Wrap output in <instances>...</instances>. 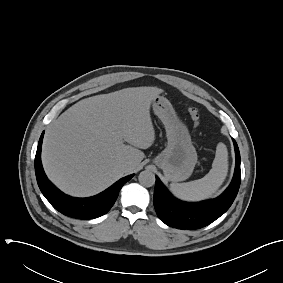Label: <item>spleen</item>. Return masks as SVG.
Segmentation results:
<instances>
[{
    "label": "spleen",
    "mask_w": 283,
    "mask_h": 283,
    "mask_svg": "<svg viewBox=\"0 0 283 283\" xmlns=\"http://www.w3.org/2000/svg\"><path fill=\"white\" fill-rule=\"evenodd\" d=\"M228 173V152L226 145L216 147L212 169L201 179L187 183L170 184L171 192L184 201H200L211 197L223 184Z\"/></svg>",
    "instance_id": "1"
}]
</instances>
